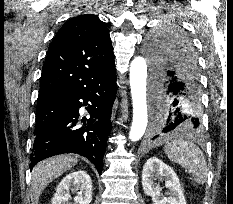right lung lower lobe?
Masks as SVG:
<instances>
[{
	"label": "right lung lower lobe",
	"instance_id": "1",
	"mask_svg": "<svg viewBox=\"0 0 233 204\" xmlns=\"http://www.w3.org/2000/svg\"><path fill=\"white\" fill-rule=\"evenodd\" d=\"M116 90V69L113 67L73 90L39 101L54 105L62 116L47 132L35 138L30 169L45 158L76 153L88 158L101 173ZM82 106H88L86 109L91 117L82 120L85 126L79 128V108Z\"/></svg>",
	"mask_w": 233,
	"mask_h": 204
}]
</instances>
